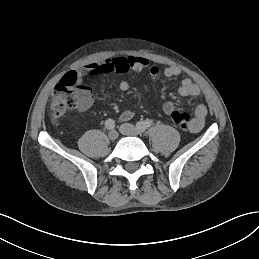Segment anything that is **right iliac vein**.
I'll list each match as a JSON object with an SVG mask.
<instances>
[{"label": "right iliac vein", "mask_w": 259, "mask_h": 259, "mask_svg": "<svg viewBox=\"0 0 259 259\" xmlns=\"http://www.w3.org/2000/svg\"><path fill=\"white\" fill-rule=\"evenodd\" d=\"M108 137H109L110 140L114 141L118 138V132L116 130H111L108 133Z\"/></svg>", "instance_id": "right-iliac-vein-1"}]
</instances>
